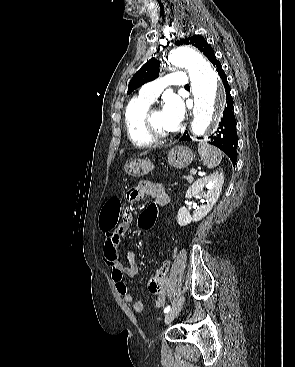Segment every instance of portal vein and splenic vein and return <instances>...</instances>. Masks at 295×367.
<instances>
[{
  "label": "portal vein and splenic vein",
  "mask_w": 295,
  "mask_h": 367,
  "mask_svg": "<svg viewBox=\"0 0 295 367\" xmlns=\"http://www.w3.org/2000/svg\"><path fill=\"white\" fill-rule=\"evenodd\" d=\"M190 174H191V175H195V174H196V170H195V169H191V170H190Z\"/></svg>",
  "instance_id": "portal-vein-and-splenic-vein-1"
}]
</instances>
